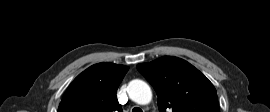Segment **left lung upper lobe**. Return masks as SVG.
I'll list each match as a JSON object with an SVG mask.
<instances>
[{
	"label": "left lung upper lobe",
	"mask_w": 270,
	"mask_h": 112,
	"mask_svg": "<svg viewBox=\"0 0 270 112\" xmlns=\"http://www.w3.org/2000/svg\"><path fill=\"white\" fill-rule=\"evenodd\" d=\"M137 69L155 89L160 112H220L214 86L187 61L164 56Z\"/></svg>",
	"instance_id": "left-lung-upper-lobe-1"
}]
</instances>
